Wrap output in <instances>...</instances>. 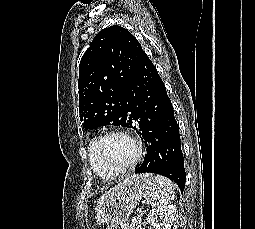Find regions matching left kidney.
Returning a JSON list of instances; mask_svg holds the SVG:
<instances>
[{
    "label": "left kidney",
    "mask_w": 255,
    "mask_h": 229,
    "mask_svg": "<svg viewBox=\"0 0 255 229\" xmlns=\"http://www.w3.org/2000/svg\"><path fill=\"white\" fill-rule=\"evenodd\" d=\"M177 208L175 205H164L152 209L147 217V222L153 226L154 229H171L174 221ZM158 217L161 221H158Z\"/></svg>",
    "instance_id": "obj_1"
}]
</instances>
